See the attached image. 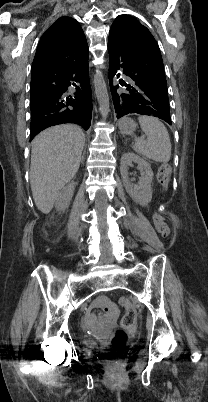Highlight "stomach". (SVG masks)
<instances>
[{
	"label": "stomach",
	"instance_id": "obj_1",
	"mask_svg": "<svg viewBox=\"0 0 208 402\" xmlns=\"http://www.w3.org/2000/svg\"><path fill=\"white\" fill-rule=\"evenodd\" d=\"M119 130L121 134H134L136 124L130 118H122V120H119Z\"/></svg>",
	"mask_w": 208,
	"mask_h": 402
}]
</instances>
